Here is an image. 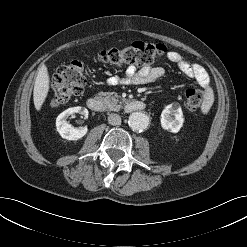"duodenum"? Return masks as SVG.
Segmentation results:
<instances>
[{
  "instance_id": "duodenum-1",
  "label": "duodenum",
  "mask_w": 247,
  "mask_h": 247,
  "mask_svg": "<svg viewBox=\"0 0 247 247\" xmlns=\"http://www.w3.org/2000/svg\"><path fill=\"white\" fill-rule=\"evenodd\" d=\"M87 105L91 110H94L96 112L108 111V105L106 101L97 96L88 98ZM125 109L127 112L142 111L145 109V104L140 100L133 99L127 102Z\"/></svg>"
}]
</instances>
